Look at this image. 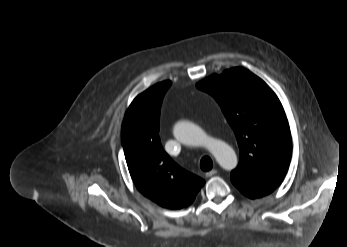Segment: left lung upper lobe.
<instances>
[{"mask_svg":"<svg viewBox=\"0 0 347 247\" xmlns=\"http://www.w3.org/2000/svg\"><path fill=\"white\" fill-rule=\"evenodd\" d=\"M196 86L215 98L236 135L240 162L231 181L277 188L290 164L292 139L276 94L241 67L213 74Z\"/></svg>","mask_w":347,"mask_h":247,"instance_id":"1","label":"left lung upper lobe"}]
</instances>
